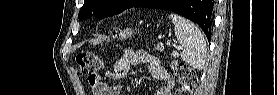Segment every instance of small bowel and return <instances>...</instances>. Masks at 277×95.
Segmentation results:
<instances>
[{
  "mask_svg": "<svg viewBox=\"0 0 277 95\" xmlns=\"http://www.w3.org/2000/svg\"><path fill=\"white\" fill-rule=\"evenodd\" d=\"M146 64L149 72L152 76L164 81L158 89V95H171V90L175 87L172 74L164 68L160 61L149 55L145 51H135L133 49H127L121 59L115 64L114 69L105 72L102 76H96L93 80H89L92 94L94 95H120L121 87L116 85L112 86L103 81L107 80H118L127 75L132 65Z\"/></svg>",
  "mask_w": 277,
  "mask_h": 95,
  "instance_id": "1",
  "label": "small bowel"
}]
</instances>
